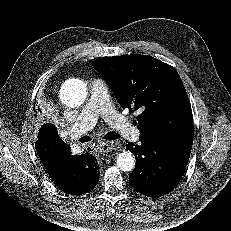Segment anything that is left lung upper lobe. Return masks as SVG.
Masks as SVG:
<instances>
[{
  "label": "left lung upper lobe",
  "instance_id": "left-lung-upper-lobe-1",
  "mask_svg": "<svg viewBox=\"0 0 231 231\" xmlns=\"http://www.w3.org/2000/svg\"><path fill=\"white\" fill-rule=\"evenodd\" d=\"M93 67L122 106L141 112L136 122L140 140H157L171 148L191 150V105L172 66L149 55L133 54L96 59Z\"/></svg>",
  "mask_w": 231,
  "mask_h": 231
}]
</instances>
